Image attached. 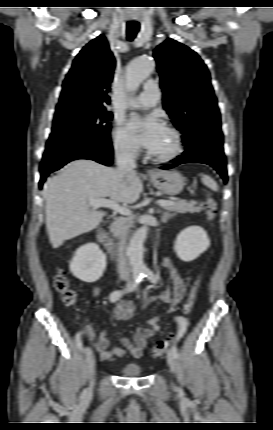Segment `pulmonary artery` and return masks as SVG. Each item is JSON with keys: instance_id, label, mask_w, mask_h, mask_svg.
I'll list each match as a JSON object with an SVG mask.
<instances>
[{"instance_id": "e3ab8cb5", "label": "pulmonary artery", "mask_w": 273, "mask_h": 430, "mask_svg": "<svg viewBox=\"0 0 273 430\" xmlns=\"http://www.w3.org/2000/svg\"><path fill=\"white\" fill-rule=\"evenodd\" d=\"M160 89L156 81L148 80L142 93L137 97L136 104L141 108L155 107L160 101Z\"/></svg>"}]
</instances>
